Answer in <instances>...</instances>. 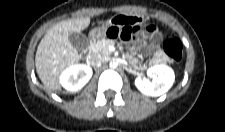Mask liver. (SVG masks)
Masks as SVG:
<instances>
[{
    "instance_id": "obj_1",
    "label": "liver",
    "mask_w": 225,
    "mask_h": 132,
    "mask_svg": "<svg viewBox=\"0 0 225 132\" xmlns=\"http://www.w3.org/2000/svg\"><path fill=\"white\" fill-rule=\"evenodd\" d=\"M89 24V17L64 20L51 27L41 39L36 51L35 65L41 82L48 90L61 91V72L80 60L78 51L69 41V34L80 33Z\"/></svg>"
}]
</instances>
